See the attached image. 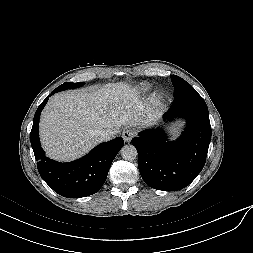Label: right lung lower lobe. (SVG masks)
Returning a JSON list of instances; mask_svg holds the SVG:
<instances>
[{"mask_svg": "<svg viewBox=\"0 0 253 253\" xmlns=\"http://www.w3.org/2000/svg\"><path fill=\"white\" fill-rule=\"evenodd\" d=\"M56 92H59V89L56 88L53 91V93ZM52 94L36 110L30 134L31 146L35 159L38 161V171L42 179L61 196L79 198L92 195L103 186L112 161L124 141L118 137L101 143L83 158L72 162L61 163L46 157L39 141V117Z\"/></svg>", "mask_w": 253, "mask_h": 253, "instance_id": "98d812e1", "label": "right lung lower lobe"}]
</instances>
